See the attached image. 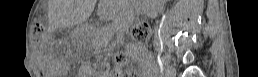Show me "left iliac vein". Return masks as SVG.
<instances>
[{"mask_svg": "<svg viewBox=\"0 0 258 77\" xmlns=\"http://www.w3.org/2000/svg\"><path fill=\"white\" fill-rule=\"evenodd\" d=\"M165 75L167 77H174L176 75V69L172 65H167L165 68Z\"/></svg>", "mask_w": 258, "mask_h": 77, "instance_id": "obj_1", "label": "left iliac vein"}]
</instances>
